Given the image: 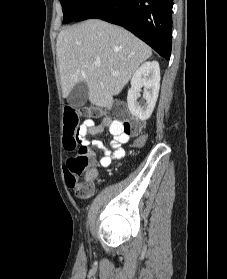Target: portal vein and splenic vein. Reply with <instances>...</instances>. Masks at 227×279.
<instances>
[{"instance_id":"1","label":"portal vein and splenic vein","mask_w":227,"mask_h":279,"mask_svg":"<svg viewBox=\"0 0 227 279\" xmlns=\"http://www.w3.org/2000/svg\"><path fill=\"white\" fill-rule=\"evenodd\" d=\"M94 65L100 66V62H99V61H94ZM113 74H117V73H116V72H113Z\"/></svg>"}]
</instances>
